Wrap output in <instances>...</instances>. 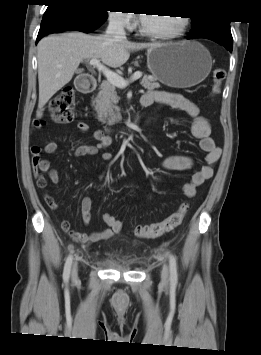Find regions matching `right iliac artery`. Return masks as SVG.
<instances>
[{"mask_svg":"<svg viewBox=\"0 0 261 355\" xmlns=\"http://www.w3.org/2000/svg\"><path fill=\"white\" fill-rule=\"evenodd\" d=\"M72 255H69L66 259V263L64 266V272H63V280L65 283L68 282L69 276H70V270H71V265H72Z\"/></svg>","mask_w":261,"mask_h":355,"instance_id":"82829eb1","label":"right iliac artery"}]
</instances>
